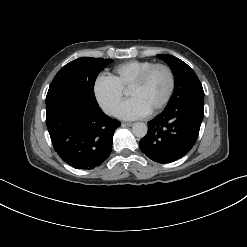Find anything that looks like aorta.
I'll list each match as a JSON object with an SVG mask.
<instances>
[{
  "mask_svg": "<svg viewBox=\"0 0 247 247\" xmlns=\"http://www.w3.org/2000/svg\"><path fill=\"white\" fill-rule=\"evenodd\" d=\"M147 125L143 122H136L132 126V132L136 137L142 138L147 134Z\"/></svg>",
  "mask_w": 247,
  "mask_h": 247,
  "instance_id": "aorta-1",
  "label": "aorta"
}]
</instances>
